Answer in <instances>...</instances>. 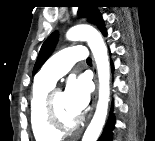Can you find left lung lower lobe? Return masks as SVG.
Masks as SVG:
<instances>
[{"label":"left lung lower lobe","mask_w":155,"mask_h":141,"mask_svg":"<svg viewBox=\"0 0 155 141\" xmlns=\"http://www.w3.org/2000/svg\"><path fill=\"white\" fill-rule=\"evenodd\" d=\"M111 66H112V70H113L114 69L113 63H111ZM114 125H115V118H114L112 110H111L107 124L103 130L102 135L99 138V141H111V134H112Z\"/></svg>","instance_id":"1"}]
</instances>
